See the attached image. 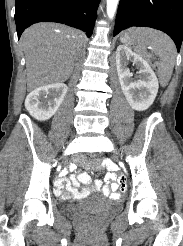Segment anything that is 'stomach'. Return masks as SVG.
Wrapping results in <instances>:
<instances>
[{
    "instance_id": "obj_1",
    "label": "stomach",
    "mask_w": 183,
    "mask_h": 246,
    "mask_svg": "<svg viewBox=\"0 0 183 246\" xmlns=\"http://www.w3.org/2000/svg\"><path fill=\"white\" fill-rule=\"evenodd\" d=\"M141 31L142 29L140 28L130 29L121 35L120 40L121 42L129 44V45L141 44L142 42L140 38L138 37V33Z\"/></svg>"
}]
</instances>
